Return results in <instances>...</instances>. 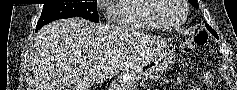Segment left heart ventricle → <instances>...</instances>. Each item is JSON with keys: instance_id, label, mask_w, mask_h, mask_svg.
<instances>
[{"instance_id": "1", "label": "left heart ventricle", "mask_w": 237, "mask_h": 90, "mask_svg": "<svg viewBox=\"0 0 237 90\" xmlns=\"http://www.w3.org/2000/svg\"><path fill=\"white\" fill-rule=\"evenodd\" d=\"M172 1V0H165ZM182 10H168L166 16H162L161 20L168 26H173L179 23L182 19Z\"/></svg>"}]
</instances>
